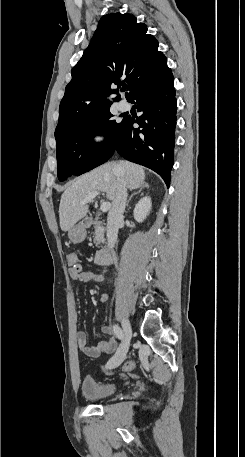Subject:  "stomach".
<instances>
[{"label":"stomach","instance_id":"1","mask_svg":"<svg viewBox=\"0 0 245 457\" xmlns=\"http://www.w3.org/2000/svg\"><path fill=\"white\" fill-rule=\"evenodd\" d=\"M87 222L81 220L78 224L71 226L70 231H68V237L72 243H82L86 237Z\"/></svg>","mask_w":245,"mask_h":457}]
</instances>
